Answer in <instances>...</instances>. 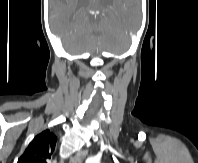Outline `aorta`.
Wrapping results in <instances>:
<instances>
[{"label": "aorta", "instance_id": "aorta-1", "mask_svg": "<svg viewBox=\"0 0 198 163\" xmlns=\"http://www.w3.org/2000/svg\"><path fill=\"white\" fill-rule=\"evenodd\" d=\"M86 163H99V160L95 159V158H90L86 161Z\"/></svg>", "mask_w": 198, "mask_h": 163}]
</instances>
